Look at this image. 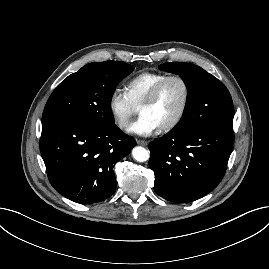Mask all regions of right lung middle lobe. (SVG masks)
Masks as SVG:
<instances>
[{
    "label": "right lung middle lobe",
    "mask_w": 269,
    "mask_h": 269,
    "mask_svg": "<svg viewBox=\"0 0 269 269\" xmlns=\"http://www.w3.org/2000/svg\"><path fill=\"white\" fill-rule=\"evenodd\" d=\"M133 70L134 66L121 61L85 65L53 91L44 108L42 123L69 119L100 128L114 125L110 109L113 93Z\"/></svg>",
    "instance_id": "obj_1"
}]
</instances>
